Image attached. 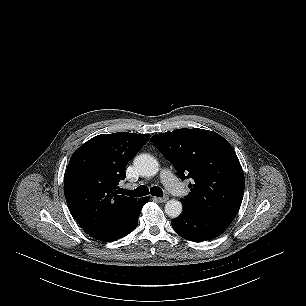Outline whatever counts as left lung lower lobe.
<instances>
[{
	"label": "left lung lower lobe",
	"instance_id": "left-lung-lower-lobe-1",
	"mask_svg": "<svg viewBox=\"0 0 306 306\" xmlns=\"http://www.w3.org/2000/svg\"><path fill=\"white\" fill-rule=\"evenodd\" d=\"M233 218L210 212L196 211L183 205L182 214L171 221L175 232L184 239L201 242L221 235Z\"/></svg>",
	"mask_w": 306,
	"mask_h": 306
}]
</instances>
